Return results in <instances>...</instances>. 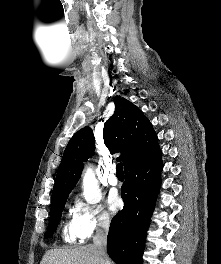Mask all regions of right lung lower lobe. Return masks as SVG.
Wrapping results in <instances>:
<instances>
[{
  "mask_svg": "<svg viewBox=\"0 0 221 264\" xmlns=\"http://www.w3.org/2000/svg\"><path fill=\"white\" fill-rule=\"evenodd\" d=\"M162 153L125 170L121 188L123 210L113 217L107 253L116 264H142L146 234L161 186Z\"/></svg>",
  "mask_w": 221,
  "mask_h": 264,
  "instance_id": "98d812e1",
  "label": "right lung lower lobe"
}]
</instances>
